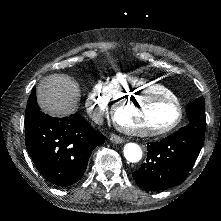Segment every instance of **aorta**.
<instances>
[{"label": "aorta", "instance_id": "aorta-1", "mask_svg": "<svg viewBox=\"0 0 221 221\" xmlns=\"http://www.w3.org/2000/svg\"><path fill=\"white\" fill-rule=\"evenodd\" d=\"M124 157L127 161L136 163L142 159V149L136 143H127L123 149Z\"/></svg>", "mask_w": 221, "mask_h": 221}]
</instances>
